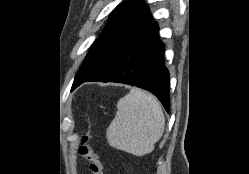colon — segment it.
<instances>
[{
  "label": "colon",
  "mask_w": 249,
  "mask_h": 174,
  "mask_svg": "<svg viewBox=\"0 0 249 174\" xmlns=\"http://www.w3.org/2000/svg\"><path fill=\"white\" fill-rule=\"evenodd\" d=\"M90 136L86 132L81 137L79 146V154L83 156L89 165V170L92 174H102V166L97 154L88 145Z\"/></svg>",
  "instance_id": "1"
}]
</instances>
